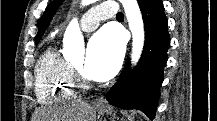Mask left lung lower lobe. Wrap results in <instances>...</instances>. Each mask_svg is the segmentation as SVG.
<instances>
[{
	"mask_svg": "<svg viewBox=\"0 0 217 121\" xmlns=\"http://www.w3.org/2000/svg\"><path fill=\"white\" fill-rule=\"evenodd\" d=\"M138 3L145 26L143 52L133 71L129 62L125 65L106 99L117 107L139 109L154 119L170 46L168 21L162 0H138Z\"/></svg>",
	"mask_w": 217,
	"mask_h": 121,
	"instance_id": "obj_1",
	"label": "left lung lower lobe"
}]
</instances>
